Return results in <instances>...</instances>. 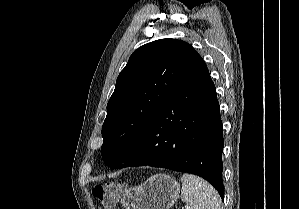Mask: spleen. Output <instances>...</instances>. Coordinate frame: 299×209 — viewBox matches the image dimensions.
Instances as JSON below:
<instances>
[{
    "label": "spleen",
    "mask_w": 299,
    "mask_h": 209,
    "mask_svg": "<svg viewBox=\"0 0 299 209\" xmlns=\"http://www.w3.org/2000/svg\"><path fill=\"white\" fill-rule=\"evenodd\" d=\"M181 182V199L189 203L190 209H222L218 192L204 179L183 174Z\"/></svg>",
    "instance_id": "spleen-1"
}]
</instances>
